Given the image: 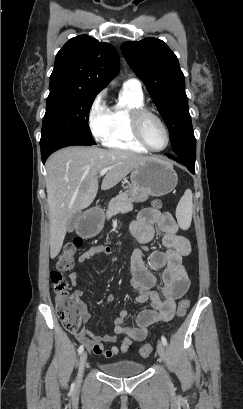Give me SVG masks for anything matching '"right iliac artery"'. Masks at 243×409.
<instances>
[{
	"instance_id": "82829eb1",
	"label": "right iliac artery",
	"mask_w": 243,
	"mask_h": 409,
	"mask_svg": "<svg viewBox=\"0 0 243 409\" xmlns=\"http://www.w3.org/2000/svg\"><path fill=\"white\" fill-rule=\"evenodd\" d=\"M83 350H84V347H83V345H81V346L78 348V353L81 354V353L83 352Z\"/></svg>"
}]
</instances>
